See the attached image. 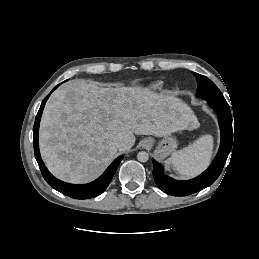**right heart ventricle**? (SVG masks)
Returning <instances> with one entry per match:
<instances>
[{"instance_id":"1","label":"right heart ventricle","mask_w":259,"mask_h":259,"mask_svg":"<svg viewBox=\"0 0 259 259\" xmlns=\"http://www.w3.org/2000/svg\"><path fill=\"white\" fill-rule=\"evenodd\" d=\"M153 88L157 89V88H158V86L156 85V86H154Z\"/></svg>"}]
</instances>
